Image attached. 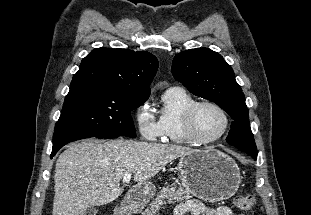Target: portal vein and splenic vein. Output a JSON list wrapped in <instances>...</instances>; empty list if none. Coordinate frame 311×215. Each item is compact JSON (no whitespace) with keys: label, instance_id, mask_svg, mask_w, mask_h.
Here are the masks:
<instances>
[{"label":"portal vein and splenic vein","instance_id":"1","mask_svg":"<svg viewBox=\"0 0 311 215\" xmlns=\"http://www.w3.org/2000/svg\"><path fill=\"white\" fill-rule=\"evenodd\" d=\"M130 180H131V174H130V173L125 174V175L123 176V183H124V184H128V183L130 182Z\"/></svg>","mask_w":311,"mask_h":215}]
</instances>
